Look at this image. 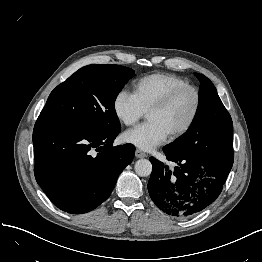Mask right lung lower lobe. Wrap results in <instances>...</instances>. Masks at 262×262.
Returning a JSON list of instances; mask_svg holds the SVG:
<instances>
[{
    "label": "right lung lower lobe",
    "mask_w": 262,
    "mask_h": 262,
    "mask_svg": "<svg viewBox=\"0 0 262 262\" xmlns=\"http://www.w3.org/2000/svg\"><path fill=\"white\" fill-rule=\"evenodd\" d=\"M119 132L95 131L63 118L38 117L33 131L35 178L59 209L86 213L110 196L135 152L129 143L113 147Z\"/></svg>",
    "instance_id": "right-lung-lower-lobe-1"
}]
</instances>
